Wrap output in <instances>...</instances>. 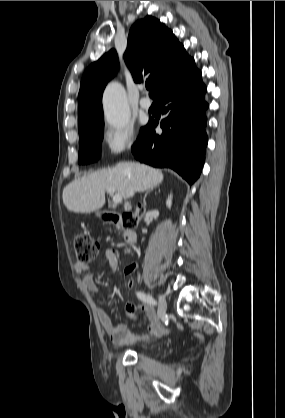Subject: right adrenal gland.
<instances>
[{
    "label": "right adrenal gland",
    "mask_w": 285,
    "mask_h": 418,
    "mask_svg": "<svg viewBox=\"0 0 285 418\" xmlns=\"http://www.w3.org/2000/svg\"><path fill=\"white\" fill-rule=\"evenodd\" d=\"M151 191H153V188H152V189H149V190H147V191H146V193H145V195H144V197H143V202H144V203H145V199H146L147 195H148Z\"/></svg>",
    "instance_id": "right-adrenal-gland-1"
}]
</instances>
